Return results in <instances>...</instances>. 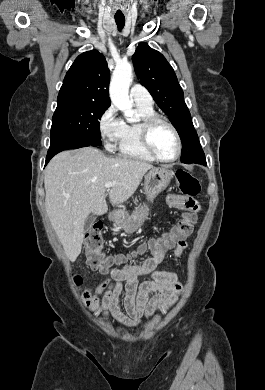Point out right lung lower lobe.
Returning a JSON list of instances; mask_svg holds the SVG:
<instances>
[{
    "instance_id": "obj_1",
    "label": "right lung lower lobe",
    "mask_w": 265,
    "mask_h": 390,
    "mask_svg": "<svg viewBox=\"0 0 265 390\" xmlns=\"http://www.w3.org/2000/svg\"><path fill=\"white\" fill-rule=\"evenodd\" d=\"M90 146V144L87 143H80L70 140H57V141H51L49 151L47 153L46 157V163L45 165L50 161V159L56 155L57 153L67 150V149H77L81 147H87Z\"/></svg>"
}]
</instances>
